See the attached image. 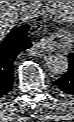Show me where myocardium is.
Masks as SVG:
<instances>
[{
	"instance_id": "obj_1",
	"label": "myocardium",
	"mask_w": 74,
	"mask_h": 122,
	"mask_svg": "<svg viewBox=\"0 0 74 122\" xmlns=\"http://www.w3.org/2000/svg\"><path fill=\"white\" fill-rule=\"evenodd\" d=\"M60 1H48L51 11L57 15H61V16H69L71 14H74V1H72V6L66 11L63 12L62 9L60 8L59 5Z\"/></svg>"
}]
</instances>
